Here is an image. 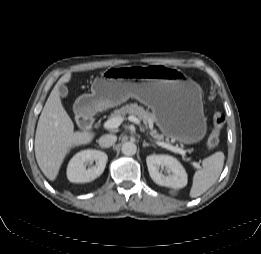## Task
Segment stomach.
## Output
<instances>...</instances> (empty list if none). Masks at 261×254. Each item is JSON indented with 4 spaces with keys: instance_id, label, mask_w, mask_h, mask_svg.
I'll list each match as a JSON object with an SVG mask.
<instances>
[{
    "instance_id": "0dacf381",
    "label": "stomach",
    "mask_w": 261,
    "mask_h": 254,
    "mask_svg": "<svg viewBox=\"0 0 261 254\" xmlns=\"http://www.w3.org/2000/svg\"><path fill=\"white\" fill-rule=\"evenodd\" d=\"M134 97L148 106L162 134L180 143L201 141L207 131L199 85L177 68L164 65L110 67L81 98L91 111Z\"/></svg>"
}]
</instances>
